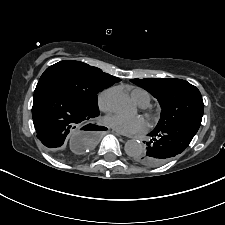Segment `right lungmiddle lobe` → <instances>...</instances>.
I'll list each match as a JSON object with an SVG mask.
<instances>
[{
    "mask_svg": "<svg viewBox=\"0 0 225 225\" xmlns=\"http://www.w3.org/2000/svg\"><path fill=\"white\" fill-rule=\"evenodd\" d=\"M39 82H49L86 110L99 114L97 94L112 82L97 72L96 67L79 61H60L48 67Z\"/></svg>",
    "mask_w": 225,
    "mask_h": 225,
    "instance_id": "dd1d6c3e",
    "label": "right lung middle lobe"
}]
</instances>
